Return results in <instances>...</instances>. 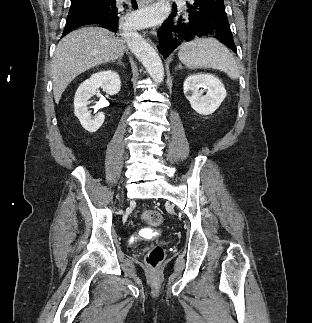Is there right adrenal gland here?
<instances>
[{
	"label": "right adrenal gland",
	"mask_w": 312,
	"mask_h": 323,
	"mask_svg": "<svg viewBox=\"0 0 312 323\" xmlns=\"http://www.w3.org/2000/svg\"><path fill=\"white\" fill-rule=\"evenodd\" d=\"M122 60H123V58H118V60H117L118 64H120V66H124V64H122Z\"/></svg>",
	"instance_id": "right-adrenal-gland-1"
}]
</instances>
